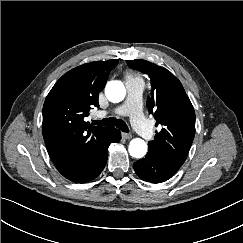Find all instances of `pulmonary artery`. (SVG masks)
<instances>
[{
	"label": "pulmonary artery",
	"mask_w": 243,
	"mask_h": 243,
	"mask_svg": "<svg viewBox=\"0 0 243 243\" xmlns=\"http://www.w3.org/2000/svg\"><path fill=\"white\" fill-rule=\"evenodd\" d=\"M143 88L144 85L141 80H126L127 99L122 105L114 109L113 113L122 116H130L136 131L144 139L150 140L153 137V131L141 111ZM106 114V112H98L96 115L98 117H103Z\"/></svg>",
	"instance_id": "pulmonary-artery-1"
}]
</instances>
